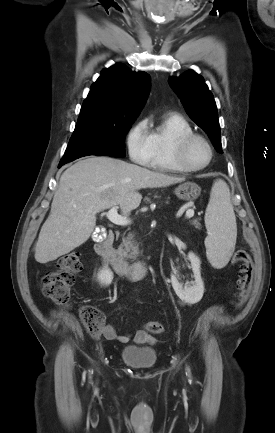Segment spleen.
<instances>
[{"label": "spleen", "mask_w": 275, "mask_h": 433, "mask_svg": "<svg viewBox=\"0 0 275 433\" xmlns=\"http://www.w3.org/2000/svg\"><path fill=\"white\" fill-rule=\"evenodd\" d=\"M205 225L208 233L205 239L207 258L215 268H223L235 249L237 225L230 191L222 180L215 181L212 186Z\"/></svg>", "instance_id": "obj_1"}]
</instances>
